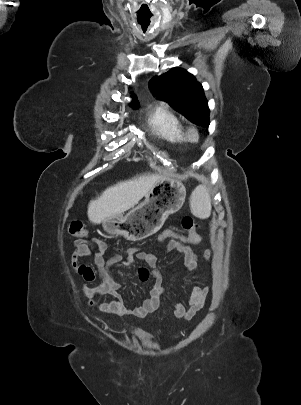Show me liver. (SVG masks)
Masks as SVG:
<instances>
[{
	"label": "liver",
	"instance_id": "liver-1",
	"mask_svg": "<svg viewBox=\"0 0 301 405\" xmlns=\"http://www.w3.org/2000/svg\"><path fill=\"white\" fill-rule=\"evenodd\" d=\"M164 177L159 174H145L108 187L88 204V218L92 223H103L122 215L133 208L151 188Z\"/></svg>",
	"mask_w": 301,
	"mask_h": 405
}]
</instances>
